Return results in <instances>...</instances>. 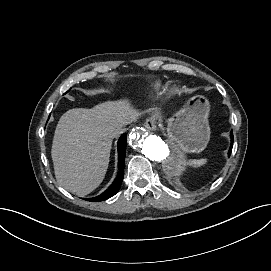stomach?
Returning a JSON list of instances; mask_svg holds the SVG:
<instances>
[{"label":"stomach","instance_id":"1","mask_svg":"<svg viewBox=\"0 0 271 271\" xmlns=\"http://www.w3.org/2000/svg\"><path fill=\"white\" fill-rule=\"evenodd\" d=\"M207 114L206 98L195 97L187 102L184 110L169 119L167 134L177 148L190 152L204 149L210 134Z\"/></svg>","mask_w":271,"mask_h":271}]
</instances>
